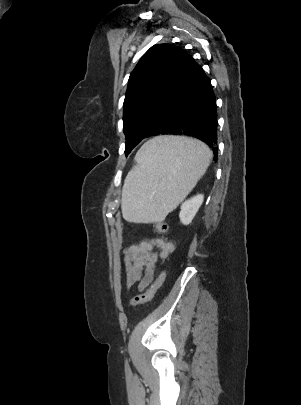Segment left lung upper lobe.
I'll list each match as a JSON object with an SVG mask.
<instances>
[{
  "instance_id": "left-lung-upper-lobe-1",
  "label": "left lung upper lobe",
  "mask_w": 301,
  "mask_h": 405,
  "mask_svg": "<svg viewBox=\"0 0 301 405\" xmlns=\"http://www.w3.org/2000/svg\"><path fill=\"white\" fill-rule=\"evenodd\" d=\"M193 58L173 44L151 47L132 71L124 100L125 153L134 138L153 136L189 76Z\"/></svg>"
}]
</instances>
